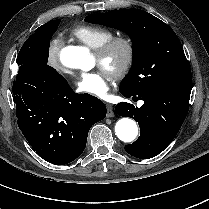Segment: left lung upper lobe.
<instances>
[{"label": "left lung upper lobe", "instance_id": "5c2ea615", "mask_svg": "<svg viewBox=\"0 0 209 209\" xmlns=\"http://www.w3.org/2000/svg\"><path fill=\"white\" fill-rule=\"evenodd\" d=\"M85 20L122 30L132 40L133 65L119 90L137 93L158 84L192 83L180 40L170 26L155 16L127 9L92 14Z\"/></svg>", "mask_w": 209, "mask_h": 209}]
</instances>
